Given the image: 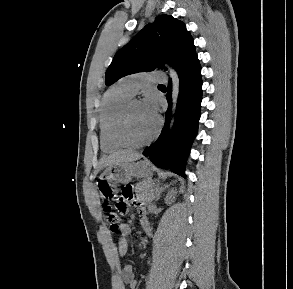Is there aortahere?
I'll list each match as a JSON object with an SVG mask.
<instances>
[{"mask_svg":"<svg viewBox=\"0 0 293 289\" xmlns=\"http://www.w3.org/2000/svg\"><path fill=\"white\" fill-rule=\"evenodd\" d=\"M169 72H170V77L172 79V87H173L172 102H173V112H174L175 107H176L178 94H179V78H178L177 73L173 69H170ZM173 121H174V117H172L171 126L173 124Z\"/></svg>","mask_w":293,"mask_h":289,"instance_id":"762f6f07","label":"aorta"}]
</instances>
